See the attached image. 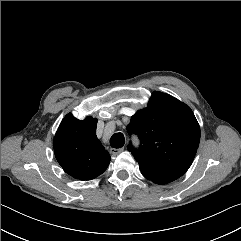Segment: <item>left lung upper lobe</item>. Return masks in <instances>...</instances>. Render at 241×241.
Here are the masks:
<instances>
[{
  "mask_svg": "<svg viewBox=\"0 0 241 241\" xmlns=\"http://www.w3.org/2000/svg\"><path fill=\"white\" fill-rule=\"evenodd\" d=\"M128 133L140 138V148L128 150L145 178L167 184L191 166L200 141V127L189 106L169 94L153 92L147 108L131 117Z\"/></svg>",
  "mask_w": 241,
  "mask_h": 241,
  "instance_id": "obj_1",
  "label": "left lung upper lobe"
}]
</instances>
